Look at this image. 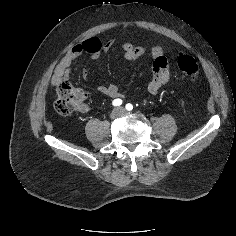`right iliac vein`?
<instances>
[{
  "mask_svg": "<svg viewBox=\"0 0 236 236\" xmlns=\"http://www.w3.org/2000/svg\"><path fill=\"white\" fill-rule=\"evenodd\" d=\"M122 113H123L122 108H116L111 112L110 118L111 119H116V118L120 117L122 115Z\"/></svg>",
  "mask_w": 236,
  "mask_h": 236,
  "instance_id": "right-iliac-vein-1",
  "label": "right iliac vein"
}]
</instances>
